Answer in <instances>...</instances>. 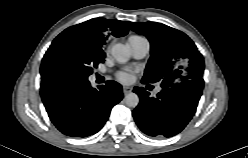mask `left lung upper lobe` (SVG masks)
I'll return each instance as SVG.
<instances>
[{
    "instance_id": "left-lung-upper-lobe-1",
    "label": "left lung upper lobe",
    "mask_w": 248,
    "mask_h": 158,
    "mask_svg": "<svg viewBox=\"0 0 248 158\" xmlns=\"http://www.w3.org/2000/svg\"><path fill=\"white\" fill-rule=\"evenodd\" d=\"M126 23L151 44L142 83L161 81L163 89L179 85L203 88L204 58L186 34L161 23Z\"/></svg>"
}]
</instances>
